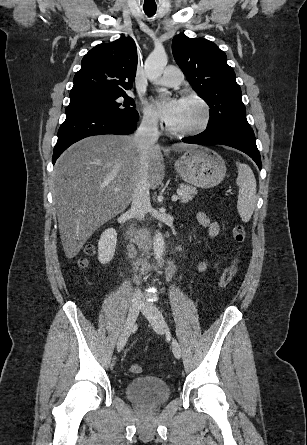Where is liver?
<instances>
[{
    "instance_id": "obj_1",
    "label": "liver",
    "mask_w": 307,
    "mask_h": 445,
    "mask_svg": "<svg viewBox=\"0 0 307 445\" xmlns=\"http://www.w3.org/2000/svg\"><path fill=\"white\" fill-rule=\"evenodd\" d=\"M133 134H98L72 144L54 166L52 188L61 243L73 259L87 239L132 200L140 166ZM197 144H172L167 150H188ZM148 182L157 188L165 174L159 144L148 148ZM119 188V190H114Z\"/></svg>"
}]
</instances>
